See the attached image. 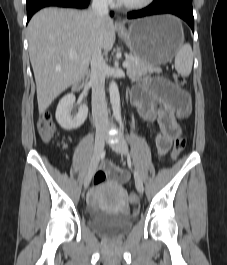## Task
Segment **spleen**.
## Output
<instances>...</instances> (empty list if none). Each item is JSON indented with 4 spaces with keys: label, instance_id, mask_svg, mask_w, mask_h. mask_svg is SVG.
I'll list each match as a JSON object with an SVG mask.
<instances>
[{
    "label": "spleen",
    "instance_id": "obj_1",
    "mask_svg": "<svg viewBox=\"0 0 227 265\" xmlns=\"http://www.w3.org/2000/svg\"><path fill=\"white\" fill-rule=\"evenodd\" d=\"M193 65V53L189 44L180 47L175 56V68L182 76H189Z\"/></svg>",
    "mask_w": 227,
    "mask_h": 265
}]
</instances>
